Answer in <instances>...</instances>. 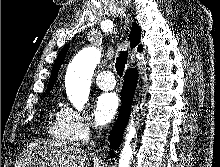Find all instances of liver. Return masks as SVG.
I'll return each mask as SVG.
<instances>
[{
	"label": "liver",
	"instance_id": "1",
	"mask_svg": "<svg viewBox=\"0 0 220 167\" xmlns=\"http://www.w3.org/2000/svg\"><path fill=\"white\" fill-rule=\"evenodd\" d=\"M87 151L54 140H35L16 160L15 167H85Z\"/></svg>",
	"mask_w": 220,
	"mask_h": 167
}]
</instances>
